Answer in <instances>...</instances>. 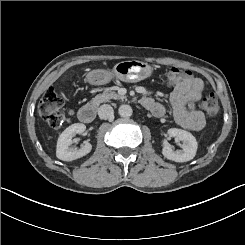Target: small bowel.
I'll list each match as a JSON object with an SVG mask.
<instances>
[{
    "instance_id": "c3829d8e",
    "label": "small bowel",
    "mask_w": 245,
    "mask_h": 245,
    "mask_svg": "<svg viewBox=\"0 0 245 245\" xmlns=\"http://www.w3.org/2000/svg\"><path fill=\"white\" fill-rule=\"evenodd\" d=\"M203 89L204 84L200 78L189 76L176 84L170 95L174 120L181 127L193 132L200 131L206 124L204 114L196 107V103L202 97ZM142 104L155 116H163L166 112L165 106L150 96L144 97Z\"/></svg>"
}]
</instances>
